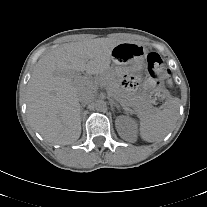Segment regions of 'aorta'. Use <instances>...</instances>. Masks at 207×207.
I'll list each match as a JSON object with an SVG mask.
<instances>
[{
  "label": "aorta",
  "mask_w": 207,
  "mask_h": 207,
  "mask_svg": "<svg viewBox=\"0 0 207 207\" xmlns=\"http://www.w3.org/2000/svg\"><path fill=\"white\" fill-rule=\"evenodd\" d=\"M95 109L98 111H104L107 109V104L104 100L100 99L95 102Z\"/></svg>",
  "instance_id": "obj_1"
}]
</instances>
